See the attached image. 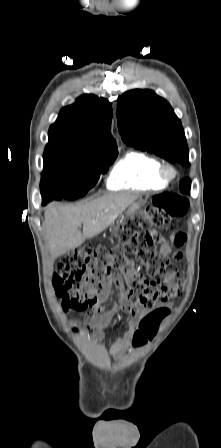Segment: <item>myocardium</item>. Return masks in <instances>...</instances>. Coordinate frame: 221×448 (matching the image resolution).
Masks as SVG:
<instances>
[{
  "label": "myocardium",
  "instance_id": "f54148a6",
  "mask_svg": "<svg viewBox=\"0 0 221 448\" xmlns=\"http://www.w3.org/2000/svg\"><path fill=\"white\" fill-rule=\"evenodd\" d=\"M176 176H177V170L174 165H172L169 162L160 164L158 169V177L163 183L165 184L170 183L176 178Z\"/></svg>",
  "mask_w": 221,
  "mask_h": 448
}]
</instances>
